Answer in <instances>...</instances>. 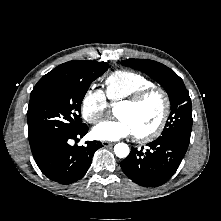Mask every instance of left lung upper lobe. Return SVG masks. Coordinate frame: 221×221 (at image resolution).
Listing matches in <instances>:
<instances>
[{
	"label": "left lung upper lobe",
	"mask_w": 221,
	"mask_h": 221,
	"mask_svg": "<svg viewBox=\"0 0 221 221\" xmlns=\"http://www.w3.org/2000/svg\"><path fill=\"white\" fill-rule=\"evenodd\" d=\"M121 63L146 73L168 93L171 113L159 138L170 137L189 144L193 124L192 106L182 79L167 66L153 60L128 59Z\"/></svg>",
	"instance_id": "1"
}]
</instances>
